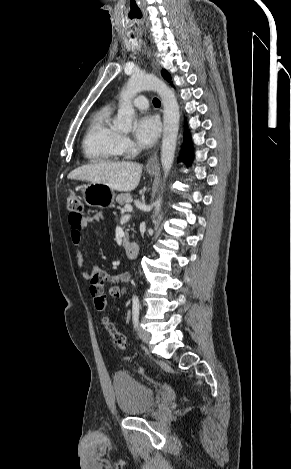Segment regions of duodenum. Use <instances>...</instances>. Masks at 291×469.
I'll use <instances>...</instances> for the list:
<instances>
[{
    "label": "duodenum",
    "mask_w": 291,
    "mask_h": 469,
    "mask_svg": "<svg viewBox=\"0 0 291 469\" xmlns=\"http://www.w3.org/2000/svg\"><path fill=\"white\" fill-rule=\"evenodd\" d=\"M125 254L128 258L134 259L139 253V246L135 242H130L125 245Z\"/></svg>",
    "instance_id": "1"
}]
</instances>
